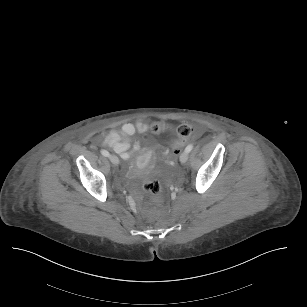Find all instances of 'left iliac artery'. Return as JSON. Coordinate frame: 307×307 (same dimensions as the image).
<instances>
[{
  "mask_svg": "<svg viewBox=\"0 0 307 307\" xmlns=\"http://www.w3.org/2000/svg\"><path fill=\"white\" fill-rule=\"evenodd\" d=\"M193 149V145L189 144L186 148H185V152H190Z\"/></svg>",
  "mask_w": 307,
  "mask_h": 307,
  "instance_id": "1",
  "label": "left iliac artery"
}]
</instances>
